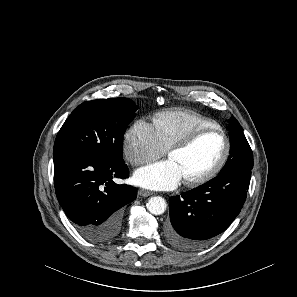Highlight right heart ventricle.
I'll return each instance as SVG.
<instances>
[{"instance_id":"obj_1","label":"right heart ventricle","mask_w":297,"mask_h":297,"mask_svg":"<svg viewBox=\"0 0 297 297\" xmlns=\"http://www.w3.org/2000/svg\"><path fill=\"white\" fill-rule=\"evenodd\" d=\"M153 126L159 143L167 150L192 130L217 126V124L191 111L171 110L156 114L153 118Z\"/></svg>"}]
</instances>
